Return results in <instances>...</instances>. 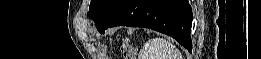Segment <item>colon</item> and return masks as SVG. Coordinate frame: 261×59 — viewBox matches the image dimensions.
<instances>
[{"instance_id":"1","label":"colon","mask_w":261,"mask_h":59,"mask_svg":"<svg viewBox=\"0 0 261 59\" xmlns=\"http://www.w3.org/2000/svg\"><path fill=\"white\" fill-rule=\"evenodd\" d=\"M121 51H122V53L124 55V58H127V59H133L134 58L133 49H132V47L129 44L124 43L121 46Z\"/></svg>"}]
</instances>
